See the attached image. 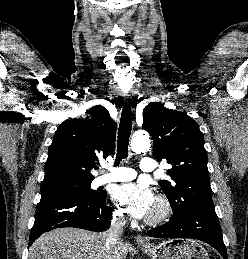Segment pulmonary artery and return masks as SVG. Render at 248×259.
I'll list each match as a JSON object with an SVG mask.
<instances>
[{
    "label": "pulmonary artery",
    "mask_w": 248,
    "mask_h": 259,
    "mask_svg": "<svg viewBox=\"0 0 248 259\" xmlns=\"http://www.w3.org/2000/svg\"><path fill=\"white\" fill-rule=\"evenodd\" d=\"M140 170L144 173H150L155 170L154 161L145 157L140 162ZM136 173L129 167H110L109 173L104 174L96 179L97 185H104L112 182L129 181L134 179Z\"/></svg>",
    "instance_id": "e3ab8cb5"
}]
</instances>
